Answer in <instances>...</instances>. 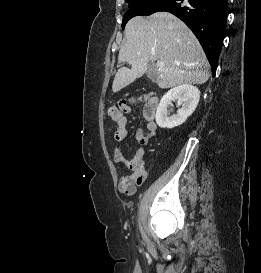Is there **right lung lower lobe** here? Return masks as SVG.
<instances>
[{"mask_svg":"<svg viewBox=\"0 0 261 273\" xmlns=\"http://www.w3.org/2000/svg\"><path fill=\"white\" fill-rule=\"evenodd\" d=\"M167 11L180 18L202 45L215 75L225 36L227 0H154L140 8V15Z\"/></svg>","mask_w":261,"mask_h":273,"instance_id":"98d812e1","label":"right lung lower lobe"}]
</instances>
